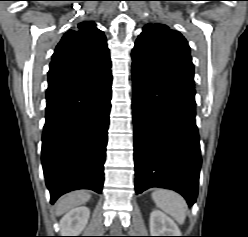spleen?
I'll list each match as a JSON object with an SVG mask.
<instances>
[{"mask_svg":"<svg viewBox=\"0 0 248 237\" xmlns=\"http://www.w3.org/2000/svg\"><path fill=\"white\" fill-rule=\"evenodd\" d=\"M156 205L173 217L179 224L186 218L187 203L182 196L170 190H156L152 193Z\"/></svg>","mask_w":248,"mask_h":237,"instance_id":"3e777b00","label":"spleen"}]
</instances>
